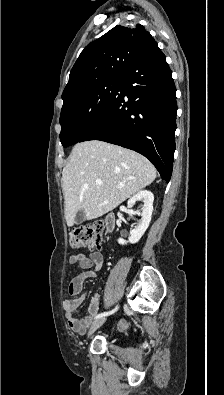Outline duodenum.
<instances>
[{
	"label": "duodenum",
	"mask_w": 224,
	"mask_h": 395,
	"mask_svg": "<svg viewBox=\"0 0 224 395\" xmlns=\"http://www.w3.org/2000/svg\"><path fill=\"white\" fill-rule=\"evenodd\" d=\"M105 228L108 232H111L115 226V217L113 215H108L104 221Z\"/></svg>",
	"instance_id": "1"
}]
</instances>
